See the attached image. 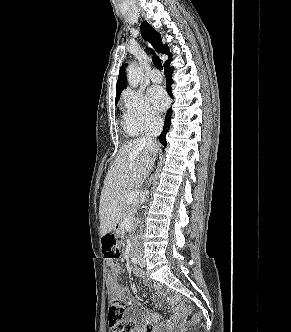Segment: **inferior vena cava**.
<instances>
[{"label":"inferior vena cava","mask_w":291,"mask_h":332,"mask_svg":"<svg viewBox=\"0 0 291 332\" xmlns=\"http://www.w3.org/2000/svg\"><path fill=\"white\" fill-rule=\"evenodd\" d=\"M163 130V120L161 118H154L151 121L148 132L141 138V142L149 148L156 146V138ZM153 161L155 158L153 157Z\"/></svg>","instance_id":"inferior-vena-cava-1"}]
</instances>
